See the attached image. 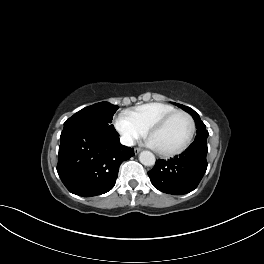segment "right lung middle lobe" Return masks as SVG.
Masks as SVG:
<instances>
[{
    "mask_svg": "<svg viewBox=\"0 0 264 264\" xmlns=\"http://www.w3.org/2000/svg\"><path fill=\"white\" fill-rule=\"evenodd\" d=\"M119 107L108 102H100L85 107L67 119L64 127L82 126L101 130H115L111 125L114 113Z\"/></svg>",
    "mask_w": 264,
    "mask_h": 264,
    "instance_id": "obj_1",
    "label": "right lung middle lobe"
}]
</instances>
